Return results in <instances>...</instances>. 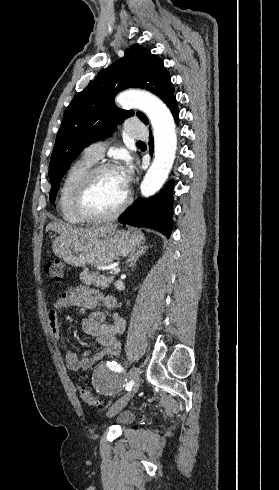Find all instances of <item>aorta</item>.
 Wrapping results in <instances>:
<instances>
[{
  "label": "aorta",
  "instance_id": "aorta-1",
  "mask_svg": "<svg viewBox=\"0 0 279 490\" xmlns=\"http://www.w3.org/2000/svg\"><path fill=\"white\" fill-rule=\"evenodd\" d=\"M124 108H137L149 118L154 135V159L140 185L141 194L150 197L160 190L174 163L177 136L174 118L156 96L142 91H127L116 97Z\"/></svg>",
  "mask_w": 279,
  "mask_h": 490
}]
</instances>
